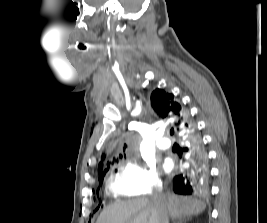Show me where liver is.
<instances>
[{
  "label": "liver",
  "instance_id": "1",
  "mask_svg": "<svg viewBox=\"0 0 267 223\" xmlns=\"http://www.w3.org/2000/svg\"><path fill=\"white\" fill-rule=\"evenodd\" d=\"M164 206L171 218L198 215L206 207L199 200L176 194L166 195ZM96 223H159V209L153 199L120 201L104 209Z\"/></svg>",
  "mask_w": 267,
  "mask_h": 223
}]
</instances>
